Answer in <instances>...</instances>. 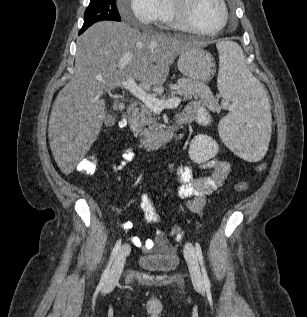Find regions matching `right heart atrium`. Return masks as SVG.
Here are the masks:
<instances>
[{"instance_id":"right-heart-atrium-1","label":"right heart atrium","mask_w":307,"mask_h":317,"mask_svg":"<svg viewBox=\"0 0 307 317\" xmlns=\"http://www.w3.org/2000/svg\"><path fill=\"white\" fill-rule=\"evenodd\" d=\"M128 6L120 7L124 19L134 18L141 25H151L160 21L163 8L161 0H123Z\"/></svg>"}]
</instances>
